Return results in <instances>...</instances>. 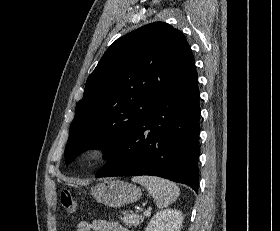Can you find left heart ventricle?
I'll use <instances>...</instances> for the list:
<instances>
[{
	"mask_svg": "<svg viewBox=\"0 0 280 231\" xmlns=\"http://www.w3.org/2000/svg\"><path fill=\"white\" fill-rule=\"evenodd\" d=\"M94 156H95V153H90V154H88L86 159L87 160H92L94 158Z\"/></svg>",
	"mask_w": 280,
	"mask_h": 231,
	"instance_id": "obj_1",
	"label": "left heart ventricle"
}]
</instances>
